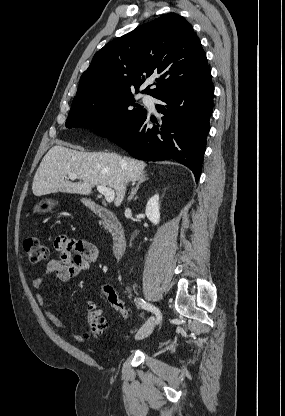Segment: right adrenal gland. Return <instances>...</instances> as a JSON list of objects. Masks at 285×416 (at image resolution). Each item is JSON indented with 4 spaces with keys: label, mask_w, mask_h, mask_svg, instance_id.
Masks as SVG:
<instances>
[{
    "label": "right adrenal gland",
    "mask_w": 285,
    "mask_h": 416,
    "mask_svg": "<svg viewBox=\"0 0 285 416\" xmlns=\"http://www.w3.org/2000/svg\"><path fill=\"white\" fill-rule=\"evenodd\" d=\"M147 174H142V176H139V178H137V186L136 188H133V190H131V194L130 196H128L127 200H133L135 194H137V190H139V186L140 184H142V182H145V180H149V178H146Z\"/></svg>",
    "instance_id": "1"
}]
</instances>
